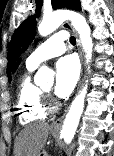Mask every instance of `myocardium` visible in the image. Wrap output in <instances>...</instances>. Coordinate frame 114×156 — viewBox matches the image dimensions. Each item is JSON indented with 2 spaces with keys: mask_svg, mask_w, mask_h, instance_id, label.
Wrapping results in <instances>:
<instances>
[{
  "mask_svg": "<svg viewBox=\"0 0 114 156\" xmlns=\"http://www.w3.org/2000/svg\"><path fill=\"white\" fill-rule=\"evenodd\" d=\"M42 92H43V95H44V99L49 96V90L42 89ZM44 103H45L46 110L54 111L56 109L54 104L47 105L45 101H44Z\"/></svg>",
  "mask_w": 114,
  "mask_h": 156,
  "instance_id": "obj_1",
  "label": "myocardium"
}]
</instances>
